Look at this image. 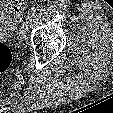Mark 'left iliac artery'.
Returning a JSON list of instances; mask_svg holds the SVG:
<instances>
[{
  "label": "left iliac artery",
  "mask_w": 113,
  "mask_h": 113,
  "mask_svg": "<svg viewBox=\"0 0 113 113\" xmlns=\"http://www.w3.org/2000/svg\"><path fill=\"white\" fill-rule=\"evenodd\" d=\"M38 8L36 6L31 7V9L28 12V19H32L34 15L36 14Z\"/></svg>",
  "instance_id": "obj_1"
}]
</instances>
